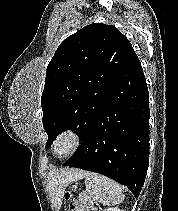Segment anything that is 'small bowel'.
I'll return each instance as SVG.
<instances>
[{
	"label": "small bowel",
	"instance_id": "1",
	"mask_svg": "<svg viewBox=\"0 0 178 211\" xmlns=\"http://www.w3.org/2000/svg\"><path fill=\"white\" fill-rule=\"evenodd\" d=\"M79 211H96V208L92 205V203L88 200H83L80 202V210Z\"/></svg>",
	"mask_w": 178,
	"mask_h": 211
}]
</instances>
